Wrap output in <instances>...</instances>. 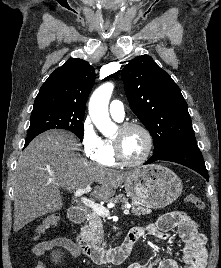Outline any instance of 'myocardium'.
Returning <instances> with one entry per match:
<instances>
[{"label":"myocardium","mask_w":221,"mask_h":268,"mask_svg":"<svg viewBox=\"0 0 221 268\" xmlns=\"http://www.w3.org/2000/svg\"><path fill=\"white\" fill-rule=\"evenodd\" d=\"M119 129L123 131L129 130V129H138L142 131L146 138V148L140 158L136 160H129L125 158V156L122 154L119 143L113 139L112 145H113L114 156H115L116 161L120 163L121 165L128 166V167H134V166H138L144 163L149 158L153 150V145H154L153 136L150 130L143 124L136 123V122H126L122 124Z\"/></svg>","instance_id":"f54148a6"}]
</instances>
